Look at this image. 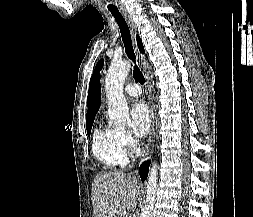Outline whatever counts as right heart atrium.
<instances>
[{
    "label": "right heart atrium",
    "mask_w": 253,
    "mask_h": 217,
    "mask_svg": "<svg viewBox=\"0 0 253 217\" xmlns=\"http://www.w3.org/2000/svg\"><path fill=\"white\" fill-rule=\"evenodd\" d=\"M117 138L121 147L124 149L126 153L130 155H133L136 153L138 143L134 139V137L131 135L130 132L126 130H119L117 131Z\"/></svg>",
    "instance_id": "right-heart-atrium-1"
}]
</instances>
